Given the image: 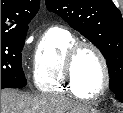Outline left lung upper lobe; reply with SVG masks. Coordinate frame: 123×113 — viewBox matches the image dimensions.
Masks as SVG:
<instances>
[{
    "label": "left lung upper lobe",
    "mask_w": 123,
    "mask_h": 113,
    "mask_svg": "<svg viewBox=\"0 0 123 113\" xmlns=\"http://www.w3.org/2000/svg\"><path fill=\"white\" fill-rule=\"evenodd\" d=\"M46 5L101 51L109 88L123 102V18L112 0H46Z\"/></svg>",
    "instance_id": "1"
}]
</instances>
